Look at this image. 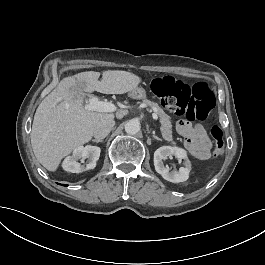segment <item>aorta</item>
<instances>
[{
    "label": "aorta",
    "mask_w": 265,
    "mask_h": 265,
    "mask_svg": "<svg viewBox=\"0 0 265 265\" xmlns=\"http://www.w3.org/2000/svg\"><path fill=\"white\" fill-rule=\"evenodd\" d=\"M140 122L137 119H131L126 122L124 129L129 135H135L140 131Z\"/></svg>",
    "instance_id": "aorta-1"
}]
</instances>
